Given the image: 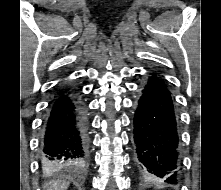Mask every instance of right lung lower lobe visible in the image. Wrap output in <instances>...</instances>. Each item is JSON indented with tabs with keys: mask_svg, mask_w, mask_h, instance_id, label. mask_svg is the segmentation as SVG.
<instances>
[{
	"mask_svg": "<svg viewBox=\"0 0 221 190\" xmlns=\"http://www.w3.org/2000/svg\"><path fill=\"white\" fill-rule=\"evenodd\" d=\"M41 158L53 167L83 165L88 137L84 106L76 90L58 86L51 98L42 125Z\"/></svg>",
	"mask_w": 221,
	"mask_h": 190,
	"instance_id": "obj_1",
	"label": "right lung lower lobe"
}]
</instances>
